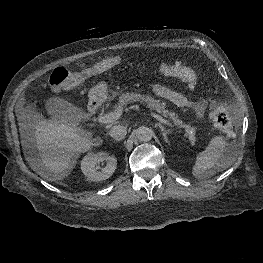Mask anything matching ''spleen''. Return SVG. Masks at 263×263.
<instances>
[{
	"mask_svg": "<svg viewBox=\"0 0 263 263\" xmlns=\"http://www.w3.org/2000/svg\"><path fill=\"white\" fill-rule=\"evenodd\" d=\"M233 148L220 135L214 136L204 151L200 152L193 166L192 173L196 178L204 177L208 170H224L234 162Z\"/></svg>",
	"mask_w": 263,
	"mask_h": 263,
	"instance_id": "spleen-1",
	"label": "spleen"
}]
</instances>
